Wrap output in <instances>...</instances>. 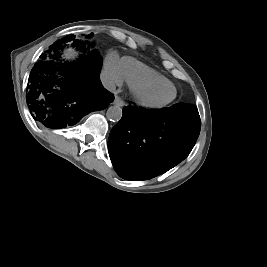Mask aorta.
Returning a JSON list of instances; mask_svg holds the SVG:
<instances>
[{
  "instance_id": "1",
  "label": "aorta",
  "mask_w": 267,
  "mask_h": 267,
  "mask_svg": "<svg viewBox=\"0 0 267 267\" xmlns=\"http://www.w3.org/2000/svg\"><path fill=\"white\" fill-rule=\"evenodd\" d=\"M106 117L108 120L118 122L122 118V108L120 106H110L107 109Z\"/></svg>"
}]
</instances>
